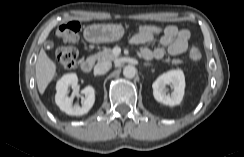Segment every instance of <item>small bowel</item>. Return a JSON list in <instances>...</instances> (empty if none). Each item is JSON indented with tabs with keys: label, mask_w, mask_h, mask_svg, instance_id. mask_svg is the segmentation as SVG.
Masks as SVG:
<instances>
[{
	"label": "small bowel",
	"mask_w": 244,
	"mask_h": 157,
	"mask_svg": "<svg viewBox=\"0 0 244 157\" xmlns=\"http://www.w3.org/2000/svg\"><path fill=\"white\" fill-rule=\"evenodd\" d=\"M190 38L191 35L188 30L169 25L159 37L162 47L154 49L143 47L140 50V55L145 60H152L161 59L166 52L173 56L184 54L188 51ZM155 40V35L137 33L131 38V43L133 45H144Z\"/></svg>",
	"instance_id": "1"
}]
</instances>
